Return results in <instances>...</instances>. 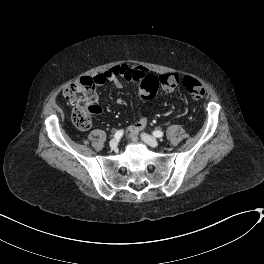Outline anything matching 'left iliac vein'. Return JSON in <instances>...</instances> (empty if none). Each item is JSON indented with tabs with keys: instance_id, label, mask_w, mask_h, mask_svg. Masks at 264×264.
<instances>
[{
	"instance_id": "4c4485c4",
	"label": "left iliac vein",
	"mask_w": 264,
	"mask_h": 264,
	"mask_svg": "<svg viewBox=\"0 0 264 264\" xmlns=\"http://www.w3.org/2000/svg\"><path fill=\"white\" fill-rule=\"evenodd\" d=\"M141 137H142L143 141L151 147L157 148L160 146L159 141L153 136H150L148 134L143 133V134H141Z\"/></svg>"
}]
</instances>
